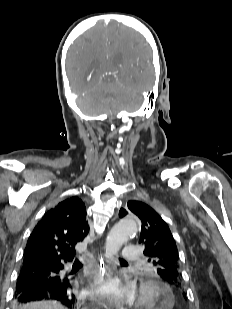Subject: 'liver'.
<instances>
[{
    "instance_id": "1",
    "label": "liver",
    "mask_w": 232,
    "mask_h": 309,
    "mask_svg": "<svg viewBox=\"0 0 232 309\" xmlns=\"http://www.w3.org/2000/svg\"><path fill=\"white\" fill-rule=\"evenodd\" d=\"M20 309H67L56 301H39L28 303L20 307Z\"/></svg>"
}]
</instances>
